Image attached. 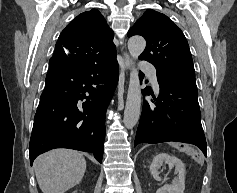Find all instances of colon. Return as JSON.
<instances>
[{"instance_id": "colon-1", "label": "colon", "mask_w": 237, "mask_h": 193, "mask_svg": "<svg viewBox=\"0 0 237 193\" xmlns=\"http://www.w3.org/2000/svg\"><path fill=\"white\" fill-rule=\"evenodd\" d=\"M189 153L196 162H201L202 161V156H201L200 153H198L196 151H190Z\"/></svg>"}]
</instances>
